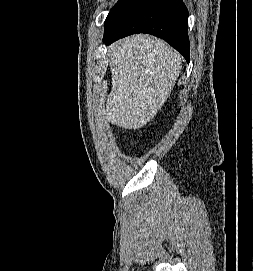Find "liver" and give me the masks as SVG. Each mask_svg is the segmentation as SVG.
<instances>
[{
	"instance_id": "1",
	"label": "liver",
	"mask_w": 253,
	"mask_h": 271,
	"mask_svg": "<svg viewBox=\"0 0 253 271\" xmlns=\"http://www.w3.org/2000/svg\"><path fill=\"white\" fill-rule=\"evenodd\" d=\"M112 88L105 115L124 129L145 126L168 99L181 69V57L163 40L144 34L109 47Z\"/></svg>"
}]
</instances>
